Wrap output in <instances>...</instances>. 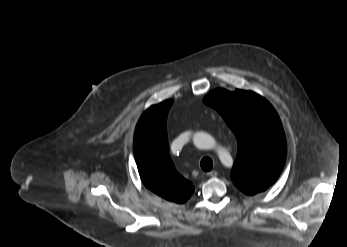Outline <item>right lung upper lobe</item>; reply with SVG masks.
<instances>
[{
  "instance_id": "cb5924a9",
  "label": "right lung upper lobe",
  "mask_w": 347,
  "mask_h": 247,
  "mask_svg": "<svg viewBox=\"0 0 347 247\" xmlns=\"http://www.w3.org/2000/svg\"><path fill=\"white\" fill-rule=\"evenodd\" d=\"M172 103L166 100L144 112L136 127L134 149L144 185L162 198L181 204L190 198L194 188L176 171L170 158L166 117Z\"/></svg>"
}]
</instances>
